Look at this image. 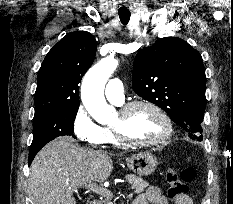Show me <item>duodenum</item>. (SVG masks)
<instances>
[{
  "instance_id": "410a0bca",
  "label": "duodenum",
  "mask_w": 233,
  "mask_h": 204,
  "mask_svg": "<svg viewBox=\"0 0 233 204\" xmlns=\"http://www.w3.org/2000/svg\"><path fill=\"white\" fill-rule=\"evenodd\" d=\"M89 204H100V203L97 200H93Z\"/></svg>"
}]
</instances>
